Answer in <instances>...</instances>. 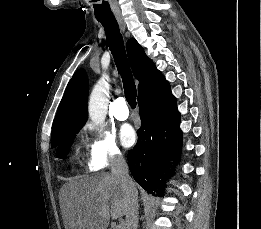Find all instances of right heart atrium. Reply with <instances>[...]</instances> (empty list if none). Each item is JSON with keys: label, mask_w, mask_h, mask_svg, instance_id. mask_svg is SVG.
I'll use <instances>...</instances> for the list:
<instances>
[{"label": "right heart atrium", "mask_w": 261, "mask_h": 229, "mask_svg": "<svg viewBox=\"0 0 261 229\" xmlns=\"http://www.w3.org/2000/svg\"><path fill=\"white\" fill-rule=\"evenodd\" d=\"M89 144L87 166L90 171H100L123 161V154L115 139L100 129Z\"/></svg>", "instance_id": "1"}]
</instances>
